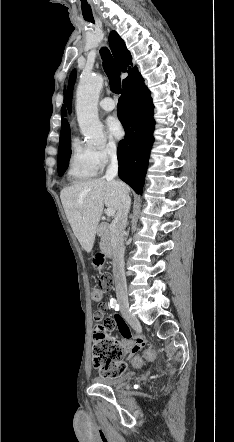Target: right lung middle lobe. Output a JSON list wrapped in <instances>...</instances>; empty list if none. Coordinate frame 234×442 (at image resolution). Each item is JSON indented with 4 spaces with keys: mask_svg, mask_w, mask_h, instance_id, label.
Listing matches in <instances>:
<instances>
[{
    "mask_svg": "<svg viewBox=\"0 0 234 442\" xmlns=\"http://www.w3.org/2000/svg\"><path fill=\"white\" fill-rule=\"evenodd\" d=\"M70 140H68L64 145L59 146L58 150V175L62 176L68 167V161L71 156L70 150Z\"/></svg>",
    "mask_w": 234,
    "mask_h": 442,
    "instance_id": "dd1d6c3e",
    "label": "right lung middle lobe"
}]
</instances>
